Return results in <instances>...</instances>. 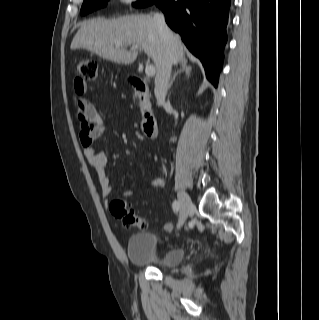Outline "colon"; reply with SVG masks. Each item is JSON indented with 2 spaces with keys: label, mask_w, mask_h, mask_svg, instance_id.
Masks as SVG:
<instances>
[{
  "label": "colon",
  "mask_w": 319,
  "mask_h": 320,
  "mask_svg": "<svg viewBox=\"0 0 319 320\" xmlns=\"http://www.w3.org/2000/svg\"><path fill=\"white\" fill-rule=\"evenodd\" d=\"M77 78L75 82L80 85H85L87 82H95L98 79V65L93 60L80 61L76 69ZM80 121V139L84 145H90L96 139L94 133L91 130V126L82 115L78 116ZM109 209L111 213L117 218L121 219L125 226L146 228V220L137 215L134 210L128 207L127 203L122 199L113 200ZM164 230L171 232L174 230V226L171 223L164 225Z\"/></svg>",
  "instance_id": "colon-1"
}]
</instances>
